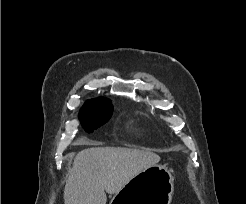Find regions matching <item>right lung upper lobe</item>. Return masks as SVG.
<instances>
[{"instance_id": "obj_1", "label": "right lung upper lobe", "mask_w": 246, "mask_h": 204, "mask_svg": "<svg viewBox=\"0 0 246 204\" xmlns=\"http://www.w3.org/2000/svg\"><path fill=\"white\" fill-rule=\"evenodd\" d=\"M103 99H105V98H98V99L88 100V101L84 104L83 107H85V106H86L88 103H90V102L97 101V100H103Z\"/></svg>"}]
</instances>
